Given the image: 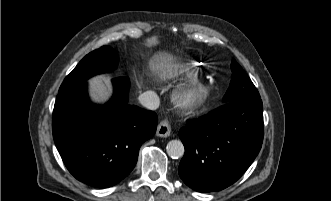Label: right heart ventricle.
Masks as SVG:
<instances>
[{
  "instance_id": "right-heart-ventricle-1",
  "label": "right heart ventricle",
  "mask_w": 331,
  "mask_h": 201,
  "mask_svg": "<svg viewBox=\"0 0 331 201\" xmlns=\"http://www.w3.org/2000/svg\"><path fill=\"white\" fill-rule=\"evenodd\" d=\"M180 73L183 75H186L188 77H196L197 76V69L192 67L191 64L184 66L181 70Z\"/></svg>"
}]
</instances>
